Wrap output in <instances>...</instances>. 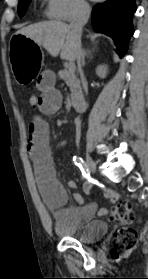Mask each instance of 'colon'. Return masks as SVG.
<instances>
[{
  "mask_svg": "<svg viewBox=\"0 0 148 279\" xmlns=\"http://www.w3.org/2000/svg\"><path fill=\"white\" fill-rule=\"evenodd\" d=\"M27 102L30 107L36 108L38 105V96L35 94L29 95ZM133 218L131 204L126 200L118 201L108 214L110 221H119L123 224L113 235L112 256L115 259L124 257L136 246V232L127 225Z\"/></svg>",
  "mask_w": 148,
  "mask_h": 279,
  "instance_id": "1",
  "label": "colon"
}]
</instances>
